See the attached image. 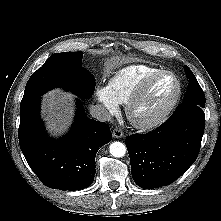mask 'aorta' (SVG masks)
<instances>
[{
	"label": "aorta",
	"instance_id": "762f6f07",
	"mask_svg": "<svg viewBox=\"0 0 221 221\" xmlns=\"http://www.w3.org/2000/svg\"><path fill=\"white\" fill-rule=\"evenodd\" d=\"M109 151L113 157L120 158L125 155L126 146L123 143L116 141V142H113L112 144H110Z\"/></svg>",
	"mask_w": 221,
	"mask_h": 221
}]
</instances>
